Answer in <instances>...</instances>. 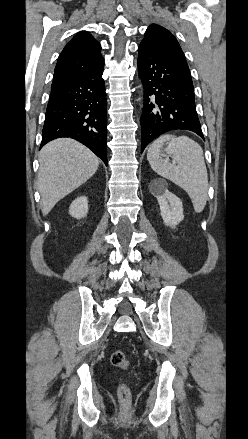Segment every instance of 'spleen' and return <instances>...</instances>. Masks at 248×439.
Returning <instances> with one entry per match:
<instances>
[{
  "instance_id": "3e777b00",
  "label": "spleen",
  "mask_w": 248,
  "mask_h": 439,
  "mask_svg": "<svg viewBox=\"0 0 248 439\" xmlns=\"http://www.w3.org/2000/svg\"><path fill=\"white\" fill-rule=\"evenodd\" d=\"M166 141L168 146L164 151L175 160L173 163L161 153ZM147 159L158 175L187 192L195 212L203 211L208 197V174L203 150L198 143L187 136L163 135L150 145Z\"/></svg>"
}]
</instances>
